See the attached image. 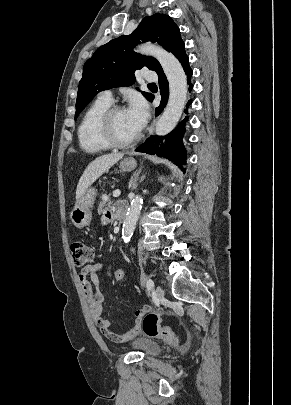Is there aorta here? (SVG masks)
Instances as JSON below:
<instances>
[{"instance_id":"obj_1","label":"aorta","mask_w":291,"mask_h":405,"mask_svg":"<svg viewBox=\"0 0 291 405\" xmlns=\"http://www.w3.org/2000/svg\"><path fill=\"white\" fill-rule=\"evenodd\" d=\"M137 51L156 58L169 83L168 104L155 126L156 134L164 136L174 129L184 110L187 99L186 74L178 59L158 45L145 43L138 46ZM142 204L143 199L137 195L128 208L122 229V238L126 243L133 235Z\"/></svg>"}]
</instances>
